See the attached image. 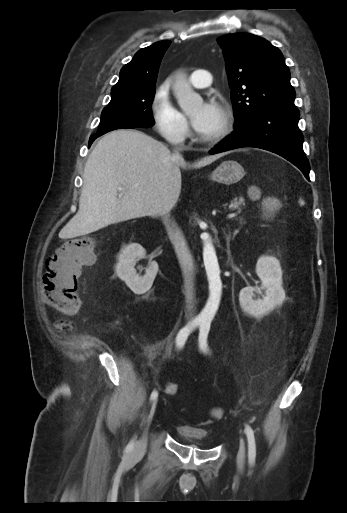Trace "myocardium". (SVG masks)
I'll list each match as a JSON object with an SVG mask.
<instances>
[{
	"label": "myocardium",
	"instance_id": "1",
	"mask_svg": "<svg viewBox=\"0 0 347 513\" xmlns=\"http://www.w3.org/2000/svg\"><path fill=\"white\" fill-rule=\"evenodd\" d=\"M221 109H222V115H223V123H222L220 130L215 135L205 138V137H202L199 133H196L198 139L202 143L215 144V143L219 142L220 140H222L225 136H227L229 134V132L231 131V129H232L231 114L224 105L221 106Z\"/></svg>",
	"mask_w": 347,
	"mask_h": 513
}]
</instances>
